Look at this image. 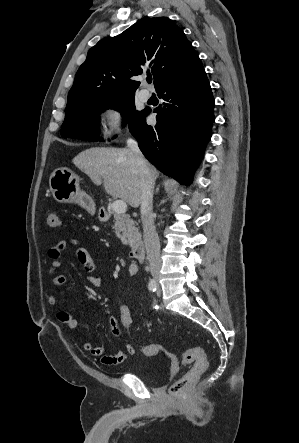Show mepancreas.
<instances>
[{"label": "pancreas", "mask_w": 299, "mask_h": 443, "mask_svg": "<svg viewBox=\"0 0 299 443\" xmlns=\"http://www.w3.org/2000/svg\"><path fill=\"white\" fill-rule=\"evenodd\" d=\"M110 210L115 219L114 229L116 236L121 240L123 245L132 243L135 238L139 237V231L135 226V221L127 214L115 213L112 210V206Z\"/></svg>", "instance_id": "obj_1"}]
</instances>
